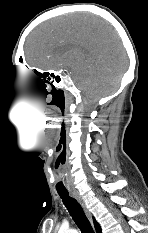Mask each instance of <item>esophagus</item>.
<instances>
[{"label":"esophagus","mask_w":148,"mask_h":233,"mask_svg":"<svg viewBox=\"0 0 148 233\" xmlns=\"http://www.w3.org/2000/svg\"><path fill=\"white\" fill-rule=\"evenodd\" d=\"M72 196L77 200V202L81 205L85 215L87 216V218L92 221V217L90 212L88 211L82 197L80 196V194L77 191H71Z\"/></svg>","instance_id":"1"}]
</instances>
